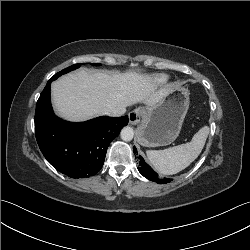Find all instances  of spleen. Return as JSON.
Instances as JSON below:
<instances>
[{"label": "spleen", "mask_w": 250, "mask_h": 250, "mask_svg": "<svg viewBox=\"0 0 250 250\" xmlns=\"http://www.w3.org/2000/svg\"><path fill=\"white\" fill-rule=\"evenodd\" d=\"M209 134V127H202L188 143L164 150H148L147 157L161 174H176L188 167L201 153Z\"/></svg>", "instance_id": "3e777b00"}]
</instances>
